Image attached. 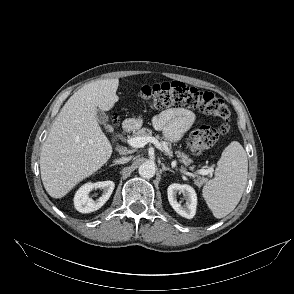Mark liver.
<instances>
[{"label":"liver","mask_w":294,"mask_h":294,"mask_svg":"<svg viewBox=\"0 0 294 294\" xmlns=\"http://www.w3.org/2000/svg\"><path fill=\"white\" fill-rule=\"evenodd\" d=\"M118 85L117 78L86 84L60 110L40 154L41 179L51 197H64L111 157L112 145L96 114L113 108Z\"/></svg>","instance_id":"1"}]
</instances>
